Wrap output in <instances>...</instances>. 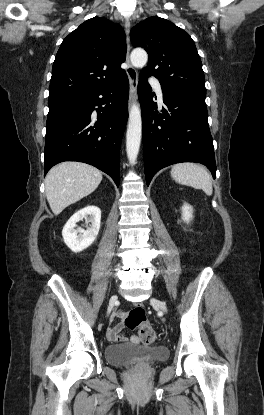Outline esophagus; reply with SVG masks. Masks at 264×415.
Returning <instances> with one entry per match:
<instances>
[{
	"label": "esophagus",
	"mask_w": 264,
	"mask_h": 415,
	"mask_svg": "<svg viewBox=\"0 0 264 415\" xmlns=\"http://www.w3.org/2000/svg\"><path fill=\"white\" fill-rule=\"evenodd\" d=\"M125 33H126V42H127V54H126V63L128 64L127 67V76L129 79V85H130V95H129V105L133 101V99L136 96L137 92V85H138V72L137 70L131 65L130 63V21L126 20L125 22Z\"/></svg>",
	"instance_id": "obj_1"
}]
</instances>
